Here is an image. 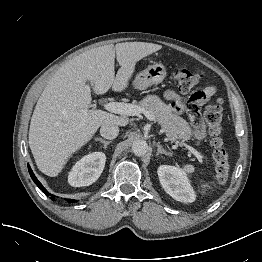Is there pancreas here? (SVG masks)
Returning <instances> with one entry per match:
<instances>
[{"mask_svg": "<svg viewBox=\"0 0 262 262\" xmlns=\"http://www.w3.org/2000/svg\"><path fill=\"white\" fill-rule=\"evenodd\" d=\"M140 107L153 116L170 140L186 141L190 139L191 129L188 122L175 115L170 106L162 102L157 96H146L140 102Z\"/></svg>", "mask_w": 262, "mask_h": 262, "instance_id": "obj_1", "label": "pancreas"}]
</instances>
